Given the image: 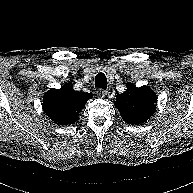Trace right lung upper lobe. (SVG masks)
Segmentation results:
<instances>
[{"instance_id": "obj_1", "label": "right lung upper lobe", "mask_w": 193, "mask_h": 193, "mask_svg": "<svg viewBox=\"0 0 193 193\" xmlns=\"http://www.w3.org/2000/svg\"><path fill=\"white\" fill-rule=\"evenodd\" d=\"M93 94L75 91L72 83L60 89H51L43 97V110L59 125H71L78 120L80 111Z\"/></svg>"}]
</instances>
